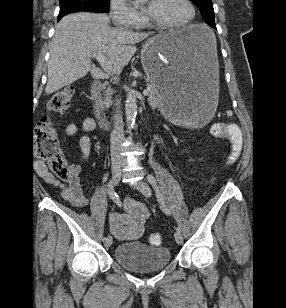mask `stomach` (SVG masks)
Listing matches in <instances>:
<instances>
[{"mask_svg":"<svg viewBox=\"0 0 286 308\" xmlns=\"http://www.w3.org/2000/svg\"><path fill=\"white\" fill-rule=\"evenodd\" d=\"M143 68L166 107L172 125H206L216 107L219 65L210 28L193 24L149 39L141 50Z\"/></svg>","mask_w":286,"mask_h":308,"instance_id":"obj_1","label":"stomach"}]
</instances>
